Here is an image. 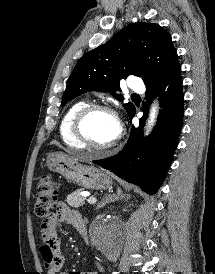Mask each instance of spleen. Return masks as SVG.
I'll list each match as a JSON object with an SVG mask.
<instances>
[{"label":"spleen","instance_id":"3e777b00","mask_svg":"<svg viewBox=\"0 0 215 274\" xmlns=\"http://www.w3.org/2000/svg\"><path fill=\"white\" fill-rule=\"evenodd\" d=\"M118 193H120V189H118Z\"/></svg>","mask_w":215,"mask_h":274}]
</instances>
